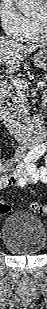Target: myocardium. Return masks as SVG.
<instances>
[{"instance_id": "myocardium-1", "label": "myocardium", "mask_w": 47, "mask_h": 309, "mask_svg": "<svg viewBox=\"0 0 47 309\" xmlns=\"http://www.w3.org/2000/svg\"><path fill=\"white\" fill-rule=\"evenodd\" d=\"M35 23L40 30L42 36L45 37L47 28V16L45 15L44 19H35Z\"/></svg>"}]
</instances>
